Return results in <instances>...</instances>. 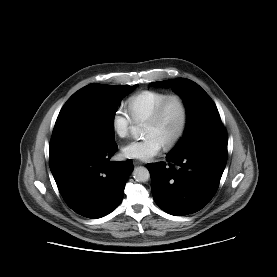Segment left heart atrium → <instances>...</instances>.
<instances>
[{
  "mask_svg": "<svg viewBox=\"0 0 277 277\" xmlns=\"http://www.w3.org/2000/svg\"><path fill=\"white\" fill-rule=\"evenodd\" d=\"M163 147L164 144L155 135L150 134L127 143L122 152L127 158L147 161L157 155Z\"/></svg>",
  "mask_w": 277,
  "mask_h": 277,
  "instance_id": "obj_1",
  "label": "left heart atrium"
}]
</instances>
